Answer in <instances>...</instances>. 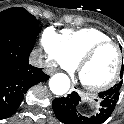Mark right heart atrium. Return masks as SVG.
Returning <instances> with one entry per match:
<instances>
[{
    "instance_id": "d8ad5b80",
    "label": "right heart atrium",
    "mask_w": 124,
    "mask_h": 124,
    "mask_svg": "<svg viewBox=\"0 0 124 124\" xmlns=\"http://www.w3.org/2000/svg\"><path fill=\"white\" fill-rule=\"evenodd\" d=\"M40 45L42 50L47 54L49 61L60 64L67 70L75 67V64L67 59L62 46L61 37L54 29L46 28L40 36Z\"/></svg>"
}]
</instances>
